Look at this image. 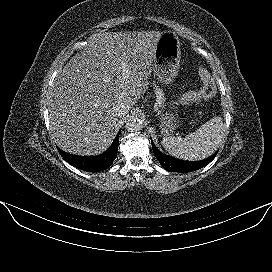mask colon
Segmentation results:
<instances>
[{"label":"colon","mask_w":272,"mask_h":272,"mask_svg":"<svg viewBox=\"0 0 272 272\" xmlns=\"http://www.w3.org/2000/svg\"><path fill=\"white\" fill-rule=\"evenodd\" d=\"M199 74L203 82L202 88L199 91L186 93L179 97L176 101L178 109L199 103L214 96L216 88L209 72L205 68H201Z\"/></svg>","instance_id":"obj_1"}]
</instances>
